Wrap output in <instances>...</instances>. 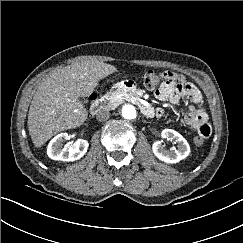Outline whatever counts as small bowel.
<instances>
[{"label":"small bowel","mask_w":243,"mask_h":243,"mask_svg":"<svg viewBox=\"0 0 243 243\" xmlns=\"http://www.w3.org/2000/svg\"><path fill=\"white\" fill-rule=\"evenodd\" d=\"M154 96L160 101H168L175 105L183 98H188L191 105L184 112L185 124L194 128L198 135L208 138L211 135V126L208 123V115L202 108V95L199 89L186 80L185 76L177 72H166L165 80L154 91ZM164 114L162 108L155 112L160 118Z\"/></svg>","instance_id":"1"}]
</instances>
